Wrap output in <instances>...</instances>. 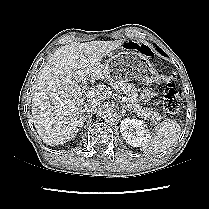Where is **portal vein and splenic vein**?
Returning <instances> with one entry per match:
<instances>
[{"label":"portal vein and splenic vein","instance_id":"obj_1","mask_svg":"<svg viewBox=\"0 0 209 209\" xmlns=\"http://www.w3.org/2000/svg\"><path fill=\"white\" fill-rule=\"evenodd\" d=\"M96 96V92L94 90H90L86 93L87 98H94ZM123 102H127V97H122Z\"/></svg>","mask_w":209,"mask_h":209}]
</instances>
